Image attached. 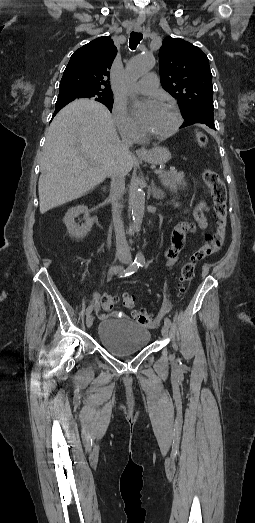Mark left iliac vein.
I'll list each match as a JSON object with an SVG mask.
<instances>
[{"mask_svg":"<svg viewBox=\"0 0 255 523\" xmlns=\"http://www.w3.org/2000/svg\"><path fill=\"white\" fill-rule=\"evenodd\" d=\"M161 332H162V335H163L164 338L168 337V335H169V327L166 324H164L163 327H162Z\"/></svg>","mask_w":255,"mask_h":523,"instance_id":"left-iliac-vein-1","label":"left iliac vein"}]
</instances>
